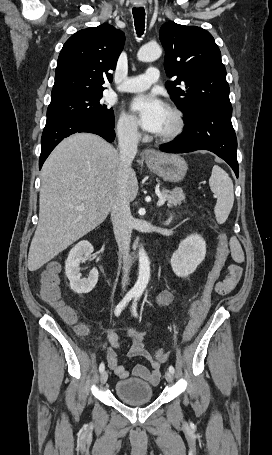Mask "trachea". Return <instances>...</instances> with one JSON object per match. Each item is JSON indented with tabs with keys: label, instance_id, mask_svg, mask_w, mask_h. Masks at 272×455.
<instances>
[{
	"label": "trachea",
	"instance_id": "1",
	"mask_svg": "<svg viewBox=\"0 0 272 455\" xmlns=\"http://www.w3.org/2000/svg\"><path fill=\"white\" fill-rule=\"evenodd\" d=\"M134 24L138 36L143 35L145 29V10L144 8H133Z\"/></svg>",
	"mask_w": 272,
	"mask_h": 455
}]
</instances>
